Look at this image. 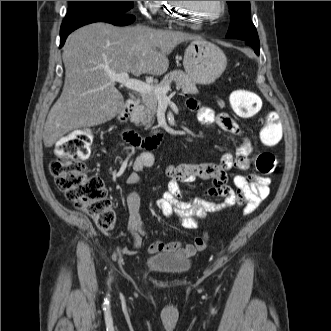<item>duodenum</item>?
I'll list each match as a JSON object with an SVG mask.
<instances>
[{"label":"duodenum","instance_id":"410a0bca","mask_svg":"<svg viewBox=\"0 0 331 331\" xmlns=\"http://www.w3.org/2000/svg\"><path fill=\"white\" fill-rule=\"evenodd\" d=\"M137 103L138 101L136 98H130L127 101L122 112L119 115V119L121 122H127L129 120L132 112L137 106ZM121 136L123 140L133 149L154 148L163 139L162 132L144 138L139 135L134 129L129 127H125L121 131Z\"/></svg>","mask_w":331,"mask_h":331}]
</instances>
